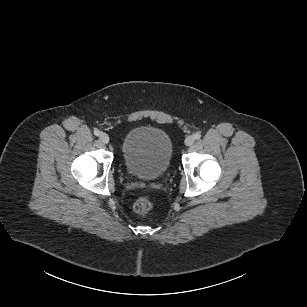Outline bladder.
Listing matches in <instances>:
<instances>
[{"mask_svg": "<svg viewBox=\"0 0 307 307\" xmlns=\"http://www.w3.org/2000/svg\"><path fill=\"white\" fill-rule=\"evenodd\" d=\"M126 170L133 176L155 180L168 170L173 153L172 141L162 129L140 126L131 129L121 146Z\"/></svg>", "mask_w": 307, "mask_h": 307, "instance_id": "31cf9c89", "label": "bladder"}]
</instances>
